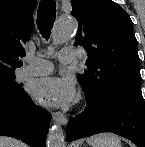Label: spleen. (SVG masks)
I'll return each instance as SVG.
<instances>
[{"label":"spleen","mask_w":145,"mask_h":147,"mask_svg":"<svg viewBox=\"0 0 145 147\" xmlns=\"http://www.w3.org/2000/svg\"><path fill=\"white\" fill-rule=\"evenodd\" d=\"M92 147H122L118 136L111 133H102L88 139Z\"/></svg>","instance_id":"spleen-1"}]
</instances>
